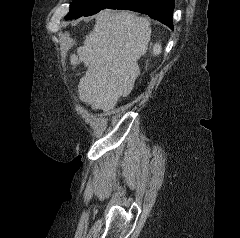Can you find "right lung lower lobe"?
I'll return each mask as SVG.
<instances>
[{
	"instance_id": "right-lung-lower-lobe-1",
	"label": "right lung lower lobe",
	"mask_w": 240,
	"mask_h": 238,
	"mask_svg": "<svg viewBox=\"0 0 240 238\" xmlns=\"http://www.w3.org/2000/svg\"><path fill=\"white\" fill-rule=\"evenodd\" d=\"M109 9H124L147 14L173 30L174 0H117Z\"/></svg>"
}]
</instances>
